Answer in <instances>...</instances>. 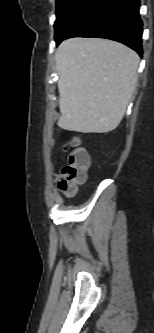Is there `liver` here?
I'll use <instances>...</instances> for the list:
<instances>
[{
	"mask_svg": "<svg viewBox=\"0 0 154 333\" xmlns=\"http://www.w3.org/2000/svg\"><path fill=\"white\" fill-rule=\"evenodd\" d=\"M58 126L108 133L120 124L137 83L139 56L106 39L71 38L57 49Z\"/></svg>",
	"mask_w": 154,
	"mask_h": 333,
	"instance_id": "6515ba94",
	"label": "liver"
}]
</instances>
